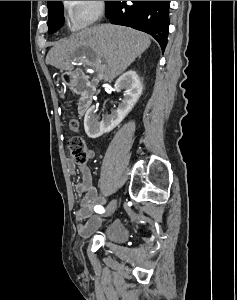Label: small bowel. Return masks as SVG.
Wrapping results in <instances>:
<instances>
[{
  "label": "small bowel",
  "instance_id": "c3829d8e",
  "mask_svg": "<svg viewBox=\"0 0 237 300\" xmlns=\"http://www.w3.org/2000/svg\"><path fill=\"white\" fill-rule=\"evenodd\" d=\"M69 128L73 132H77L79 129V122L75 119L69 122ZM88 158L95 156L94 150L87 151ZM68 167L71 172L76 170V166L73 162H68ZM78 171L81 174V181L76 184V192L81 195L80 205L75 211L76 218L81 221L77 225L78 233L81 236H88L100 225V218L94 213V208L97 205L105 203V197L100 193L93 185L92 174L89 167L86 164L77 166ZM115 183L109 178H102L101 188L106 190L113 188Z\"/></svg>",
  "mask_w": 237,
  "mask_h": 300
}]
</instances>
